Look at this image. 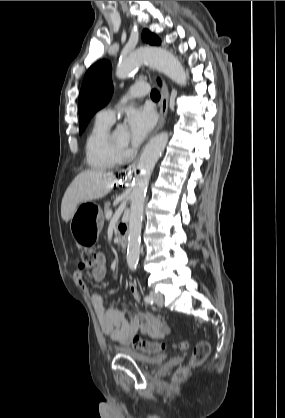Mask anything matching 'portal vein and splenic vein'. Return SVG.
Here are the masks:
<instances>
[{
	"label": "portal vein and splenic vein",
	"mask_w": 285,
	"mask_h": 418,
	"mask_svg": "<svg viewBox=\"0 0 285 418\" xmlns=\"http://www.w3.org/2000/svg\"><path fill=\"white\" fill-rule=\"evenodd\" d=\"M111 217H112V211L110 210L106 213V218L110 219Z\"/></svg>",
	"instance_id": "obj_1"
}]
</instances>
